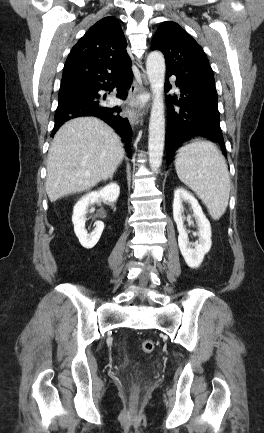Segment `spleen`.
I'll return each mask as SVG.
<instances>
[{"mask_svg":"<svg viewBox=\"0 0 264 433\" xmlns=\"http://www.w3.org/2000/svg\"><path fill=\"white\" fill-rule=\"evenodd\" d=\"M175 168L180 181L197 194L211 217L220 219L228 206L230 177L217 146L210 141L196 140L181 147Z\"/></svg>","mask_w":264,"mask_h":433,"instance_id":"3e777b00","label":"spleen"}]
</instances>
